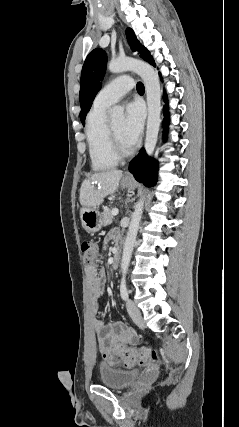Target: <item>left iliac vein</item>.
I'll return each mask as SVG.
<instances>
[{
	"instance_id": "left-iliac-vein-1",
	"label": "left iliac vein",
	"mask_w": 239,
	"mask_h": 427,
	"mask_svg": "<svg viewBox=\"0 0 239 427\" xmlns=\"http://www.w3.org/2000/svg\"><path fill=\"white\" fill-rule=\"evenodd\" d=\"M127 311L131 317V319L134 321V323L139 326H144V321L142 318V314L140 309L135 305V303L132 300H128L126 303Z\"/></svg>"
}]
</instances>
